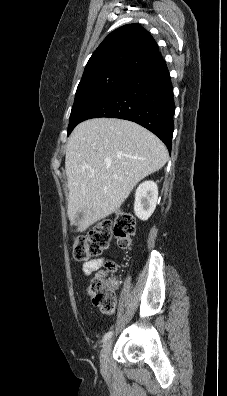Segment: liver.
I'll list each match as a JSON object with an SVG mask.
<instances>
[{"label": "liver", "mask_w": 227, "mask_h": 396, "mask_svg": "<svg viewBox=\"0 0 227 396\" xmlns=\"http://www.w3.org/2000/svg\"><path fill=\"white\" fill-rule=\"evenodd\" d=\"M167 160L163 142L134 122L94 118L78 124L65 156L71 225L79 211L78 232L116 212L134 186Z\"/></svg>", "instance_id": "1"}]
</instances>
